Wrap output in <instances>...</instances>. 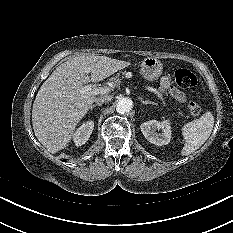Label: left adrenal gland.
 I'll return each mask as SVG.
<instances>
[{
  "label": "left adrenal gland",
  "instance_id": "left-adrenal-gland-1",
  "mask_svg": "<svg viewBox=\"0 0 233 233\" xmlns=\"http://www.w3.org/2000/svg\"><path fill=\"white\" fill-rule=\"evenodd\" d=\"M141 102L143 103V104H152V105H158L157 103H155V102H152V101H149V100H143V99H141Z\"/></svg>",
  "mask_w": 233,
  "mask_h": 233
}]
</instances>
